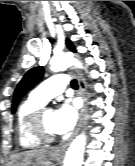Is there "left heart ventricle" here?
Masks as SVG:
<instances>
[{"label": "left heart ventricle", "mask_w": 135, "mask_h": 166, "mask_svg": "<svg viewBox=\"0 0 135 166\" xmlns=\"http://www.w3.org/2000/svg\"><path fill=\"white\" fill-rule=\"evenodd\" d=\"M53 118H54V112L52 110L46 111L43 117L44 127L47 130V132L51 134H55L53 130Z\"/></svg>", "instance_id": "obj_1"}]
</instances>
